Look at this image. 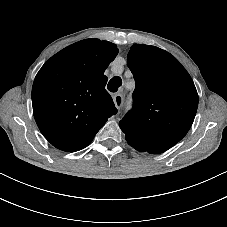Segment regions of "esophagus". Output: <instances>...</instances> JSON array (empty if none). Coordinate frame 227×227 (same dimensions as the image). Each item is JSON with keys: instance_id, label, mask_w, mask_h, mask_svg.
<instances>
[{"instance_id": "esophagus-1", "label": "esophagus", "mask_w": 227, "mask_h": 227, "mask_svg": "<svg viewBox=\"0 0 227 227\" xmlns=\"http://www.w3.org/2000/svg\"><path fill=\"white\" fill-rule=\"evenodd\" d=\"M113 101L115 103V107L120 110L122 108V105H123V101H124V96L122 94H116L114 97H113Z\"/></svg>"}]
</instances>
